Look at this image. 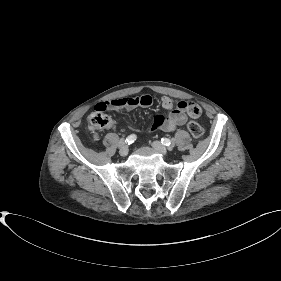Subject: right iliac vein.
I'll use <instances>...</instances> for the list:
<instances>
[{
    "label": "right iliac vein",
    "mask_w": 281,
    "mask_h": 281,
    "mask_svg": "<svg viewBox=\"0 0 281 281\" xmlns=\"http://www.w3.org/2000/svg\"><path fill=\"white\" fill-rule=\"evenodd\" d=\"M129 148L127 145H122L120 147L119 153L121 156H126L128 154Z\"/></svg>",
    "instance_id": "1"
}]
</instances>
